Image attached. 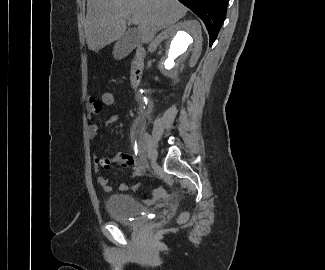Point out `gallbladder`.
I'll use <instances>...</instances> for the list:
<instances>
[{
  "label": "gallbladder",
  "mask_w": 325,
  "mask_h": 270,
  "mask_svg": "<svg viewBox=\"0 0 325 270\" xmlns=\"http://www.w3.org/2000/svg\"><path fill=\"white\" fill-rule=\"evenodd\" d=\"M139 43L140 35L137 30H127L116 42L113 54L116 58H123L127 56Z\"/></svg>",
  "instance_id": "gallbladder-1"
}]
</instances>
